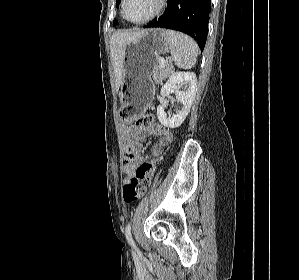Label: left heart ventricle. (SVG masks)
Listing matches in <instances>:
<instances>
[{
    "label": "left heart ventricle",
    "mask_w": 299,
    "mask_h": 280,
    "mask_svg": "<svg viewBox=\"0 0 299 280\" xmlns=\"http://www.w3.org/2000/svg\"><path fill=\"white\" fill-rule=\"evenodd\" d=\"M158 0H127L126 16L133 21L142 20L154 12Z\"/></svg>",
    "instance_id": "left-heart-ventricle-1"
}]
</instances>
